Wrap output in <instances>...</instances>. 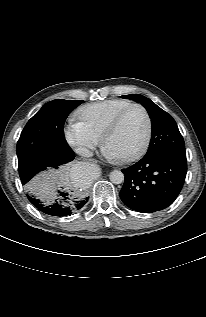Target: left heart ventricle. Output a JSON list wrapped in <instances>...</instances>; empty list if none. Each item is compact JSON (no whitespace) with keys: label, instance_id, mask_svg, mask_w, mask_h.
Segmentation results:
<instances>
[{"label":"left heart ventricle","instance_id":"1","mask_svg":"<svg viewBox=\"0 0 206 317\" xmlns=\"http://www.w3.org/2000/svg\"><path fill=\"white\" fill-rule=\"evenodd\" d=\"M146 132L143 112L135 108L123 119L119 127L107 138L105 145L118 157L135 151L142 143Z\"/></svg>","mask_w":206,"mask_h":317}]
</instances>
